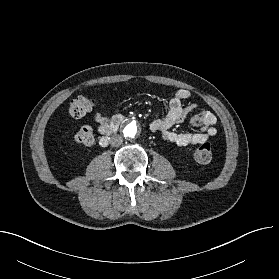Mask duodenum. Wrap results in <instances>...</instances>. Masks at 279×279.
Listing matches in <instances>:
<instances>
[{
	"label": "duodenum",
	"instance_id": "1",
	"mask_svg": "<svg viewBox=\"0 0 279 279\" xmlns=\"http://www.w3.org/2000/svg\"><path fill=\"white\" fill-rule=\"evenodd\" d=\"M124 118L122 116H115L108 128L107 133L101 137L99 143L102 147H106L109 144L110 136L117 131Z\"/></svg>",
	"mask_w": 279,
	"mask_h": 279
}]
</instances>
